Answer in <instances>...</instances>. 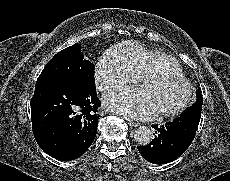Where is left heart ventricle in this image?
<instances>
[{
  "mask_svg": "<svg viewBox=\"0 0 230 181\" xmlns=\"http://www.w3.org/2000/svg\"><path fill=\"white\" fill-rule=\"evenodd\" d=\"M185 87L175 81H150L143 87L141 94L155 110L171 108L183 98Z\"/></svg>",
  "mask_w": 230,
  "mask_h": 181,
  "instance_id": "b2bd125f",
  "label": "left heart ventricle"
}]
</instances>
